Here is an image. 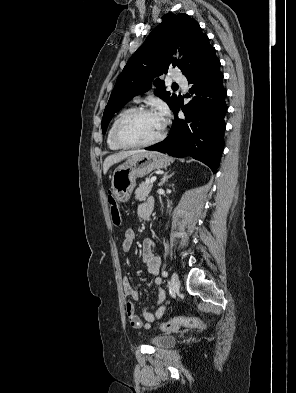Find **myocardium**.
<instances>
[{"label": "myocardium", "mask_w": 296, "mask_h": 393, "mask_svg": "<svg viewBox=\"0 0 296 393\" xmlns=\"http://www.w3.org/2000/svg\"><path fill=\"white\" fill-rule=\"evenodd\" d=\"M145 113H155V111L152 108H148V107H138V108H133L132 110H130L120 118L114 129V140L118 145L127 149L142 148V147H148L154 145L160 142L164 138L165 125H163L161 132L155 138L146 142L131 143L123 138L122 132L124 126L135 116Z\"/></svg>", "instance_id": "f54148a6"}]
</instances>
